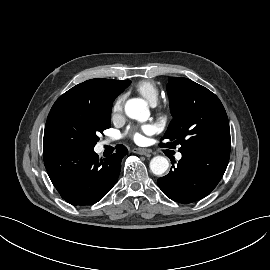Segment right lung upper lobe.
Wrapping results in <instances>:
<instances>
[{
	"label": "right lung upper lobe",
	"mask_w": 270,
	"mask_h": 270,
	"mask_svg": "<svg viewBox=\"0 0 270 270\" xmlns=\"http://www.w3.org/2000/svg\"><path fill=\"white\" fill-rule=\"evenodd\" d=\"M129 84V80L119 81L102 78L87 80L61 95L50 112L71 106H90L98 109L111 108L115 97Z\"/></svg>",
	"instance_id": "obj_1"
}]
</instances>
